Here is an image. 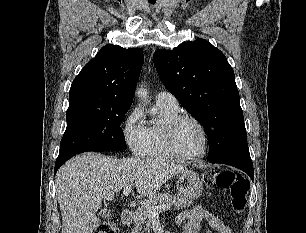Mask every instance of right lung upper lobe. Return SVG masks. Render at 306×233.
<instances>
[{
	"instance_id": "1",
	"label": "right lung upper lobe",
	"mask_w": 306,
	"mask_h": 233,
	"mask_svg": "<svg viewBox=\"0 0 306 233\" xmlns=\"http://www.w3.org/2000/svg\"><path fill=\"white\" fill-rule=\"evenodd\" d=\"M143 61L139 48L104 46L74 79L69 104L87 101L131 106Z\"/></svg>"
}]
</instances>
